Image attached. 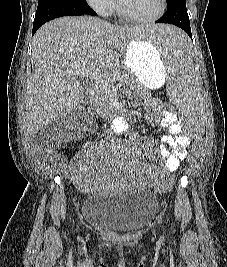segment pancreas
Segmentation results:
<instances>
[{
    "instance_id": "obj_1",
    "label": "pancreas",
    "mask_w": 227,
    "mask_h": 267,
    "mask_svg": "<svg viewBox=\"0 0 227 267\" xmlns=\"http://www.w3.org/2000/svg\"><path fill=\"white\" fill-rule=\"evenodd\" d=\"M117 81H120L131 88H135L136 85L143 88L134 75H130L125 70H113L112 73L106 76L104 83H98L97 85L94 105L98 111L112 107V89H114Z\"/></svg>"
}]
</instances>
